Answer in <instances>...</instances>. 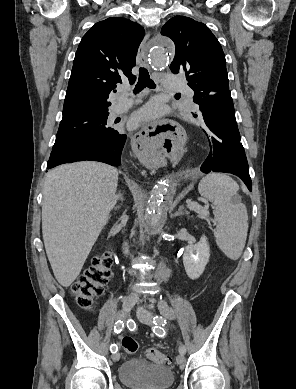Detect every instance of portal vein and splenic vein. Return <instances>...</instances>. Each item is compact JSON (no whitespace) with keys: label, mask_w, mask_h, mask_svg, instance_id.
I'll return each instance as SVG.
<instances>
[{"label":"portal vein and splenic vein","mask_w":296,"mask_h":389,"mask_svg":"<svg viewBox=\"0 0 296 389\" xmlns=\"http://www.w3.org/2000/svg\"><path fill=\"white\" fill-rule=\"evenodd\" d=\"M186 202H187V206H188L189 209L194 210V211L200 210V205H198L196 202H192L189 199ZM202 214L204 216H207L208 215V211L207 210L206 211H202Z\"/></svg>","instance_id":"18ae733b"}]
</instances>
